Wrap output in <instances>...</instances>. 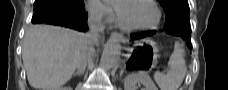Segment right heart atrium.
Listing matches in <instances>:
<instances>
[{"label":"right heart atrium","instance_id":"1","mask_svg":"<svg viewBox=\"0 0 228 90\" xmlns=\"http://www.w3.org/2000/svg\"><path fill=\"white\" fill-rule=\"evenodd\" d=\"M89 12L96 18L110 22L114 18L113 5L110 2L100 0L87 1Z\"/></svg>","mask_w":228,"mask_h":90}]
</instances>
